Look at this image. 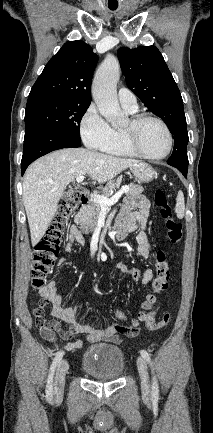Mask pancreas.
Here are the masks:
<instances>
[{
    "label": "pancreas",
    "mask_w": 213,
    "mask_h": 433,
    "mask_svg": "<svg viewBox=\"0 0 213 433\" xmlns=\"http://www.w3.org/2000/svg\"><path fill=\"white\" fill-rule=\"evenodd\" d=\"M118 182L119 180L108 182L106 187L103 189L102 195L109 198L115 190ZM128 187L129 191L127 192V196L135 197L141 195V193L143 192V187L140 185H135L131 183L128 185ZM100 211V204L94 201L93 198L90 200L89 204L81 208L80 212L76 217V220L85 234L93 232V230L95 229Z\"/></svg>",
    "instance_id": "1"
}]
</instances>
